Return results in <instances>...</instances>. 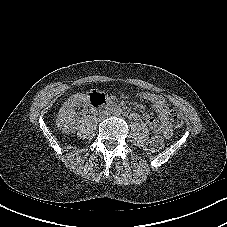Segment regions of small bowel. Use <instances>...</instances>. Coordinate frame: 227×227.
Here are the masks:
<instances>
[{"label":"small bowel","instance_id":"1","mask_svg":"<svg viewBox=\"0 0 227 227\" xmlns=\"http://www.w3.org/2000/svg\"><path fill=\"white\" fill-rule=\"evenodd\" d=\"M138 96L151 103L153 108L158 113V120L152 116H146V123L149 128L156 134H162L169 138L172 135V128L170 123V108L167 100L151 92H140ZM139 117V116H138Z\"/></svg>","mask_w":227,"mask_h":227}]
</instances>
